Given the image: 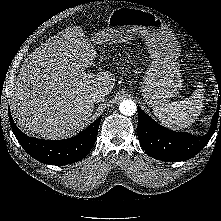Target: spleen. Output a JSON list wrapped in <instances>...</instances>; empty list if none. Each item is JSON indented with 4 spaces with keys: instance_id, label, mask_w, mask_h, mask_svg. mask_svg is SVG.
Returning <instances> with one entry per match:
<instances>
[{
    "instance_id": "3e777b00",
    "label": "spleen",
    "mask_w": 221,
    "mask_h": 221,
    "mask_svg": "<svg viewBox=\"0 0 221 221\" xmlns=\"http://www.w3.org/2000/svg\"><path fill=\"white\" fill-rule=\"evenodd\" d=\"M203 90L202 85H198L189 98L162 106H154L153 112L158 120L167 127L176 130L188 128L201 113L204 100Z\"/></svg>"
}]
</instances>
